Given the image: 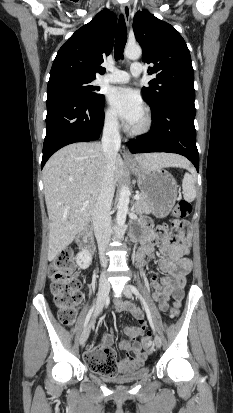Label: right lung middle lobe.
<instances>
[{
    "label": "right lung middle lobe",
    "mask_w": 233,
    "mask_h": 413,
    "mask_svg": "<svg viewBox=\"0 0 233 413\" xmlns=\"http://www.w3.org/2000/svg\"><path fill=\"white\" fill-rule=\"evenodd\" d=\"M94 79L80 77H62L48 82L47 95L72 94L93 104L101 105L104 103V95L99 94L98 87L91 85Z\"/></svg>",
    "instance_id": "obj_1"
}]
</instances>
